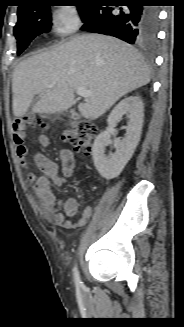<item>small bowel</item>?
<instances>
[{"mask_svg": "<svg viewBox=\"0 0 184 327\" xmlns=\"http://www.w3.org/2000/svg\"><path fill=\"white\" fill-rule=\"evenodd\" d=\"M38 141L42 147L49 145V138L44 132L39 135ZM20 158L23 159V157ZM59 159L60 165L51 161L46 156L38 154L36 156V164L41 170L42 175L38 176L34 172H29L27 174V180L34 185L35 192L42 205L44 216L50 222L71 230L84 226L92 214V209L90 207L85 208L82 215L76 221L67 218L77 212V201L73 198L59 201L52 190V185L60 187L65 184L75 169V158L71 150L61 149L59 151ZM23 164L27 165L25 162ZM58 206L62 207V213L56 211Z\"/></svg>", "mask_w": 184, "mask_h": 327, "instance_id": "c3829d8e", "label": "small bowel"}]
</instances>
